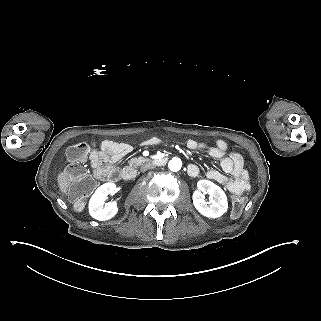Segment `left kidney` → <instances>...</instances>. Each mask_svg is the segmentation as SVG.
<instances>
[{"instance_id":"obj_1","label":"left kidney","mask_w":321,"mask_h":321,"mask_svg":"<svg viewBox=\"0 0 321 321\" xmlns=\"http://www.w3.org/2000/svg\"><path fill=\"white\" fill-rule=\"evenodd\" d=\"M198 190L214 197L210 206L206 204L205 195L199 191L193 194V205L195 209L203 216L208 218H219L228 210V200L225 192L213 182L203 179L197 182Z\"/></svg>"}]
</instances>
